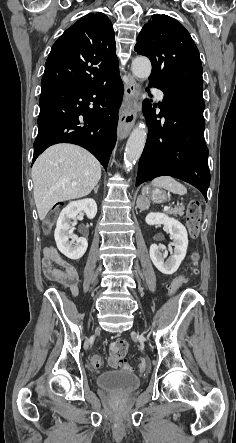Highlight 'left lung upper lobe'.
I'll return each instance as SVG.
<instances>
[{
	"mask_svg": "<svg viewBox=\"0 0 236 443\" xmlns=\"http://www.w3.org/2000/svg\"><path fill=\"white\" fill-rule=\"evenodd\" d=\"M134 49L152 63L150 82L164 87L203 86L199 51L188 31L174 18L153 15L138 35Z\"/></svg>",
	"mask_w": 236,
	"mask_h": 443,
	"instance_id": "left-lung-upper-lobe-1",
	"label": "left lung upper lobe"
}]
</instances>
